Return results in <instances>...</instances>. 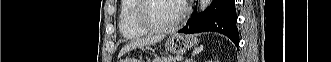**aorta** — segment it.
Returning <instances> with one entry per match:
<instances>
[{
	"mask_svg": "<svg viewBox=\"0 0 331 62\" xmlns=\"http://www.w3.org/2000/svg\"><path fill=\"white\" fill-rule=\"evenodd\" d=\"M212 0H200L199 7L200 11H205L206 8L211 4Z\"/></svg>",
	"mask_w": 331,
	"mask_h": 62,
	"instance_id": "762f6f07",
	"label": "aorta"
}]
</instances>
